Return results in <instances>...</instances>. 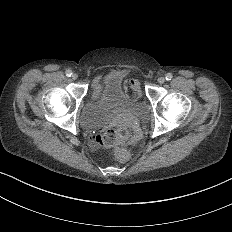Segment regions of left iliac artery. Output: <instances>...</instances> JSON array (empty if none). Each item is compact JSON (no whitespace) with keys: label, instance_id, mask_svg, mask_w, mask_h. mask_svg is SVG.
Here are the masks:
<instances>
[{"label":"left iliac artery","instance_id":"obj_1","mask_svg":"<svg viewBox=\"0 0 232 232\" xmlns=\"http://www.w3.org/2000/svg\"><path fill=\"white\" fill-rule=\"evenodd\" d=\"M172 78H173V75H172L171 73H167V74L165 75V79H166L167 81H170Z\"/></svg>","mask_w":232,"mask_h":232}]
</instances>
